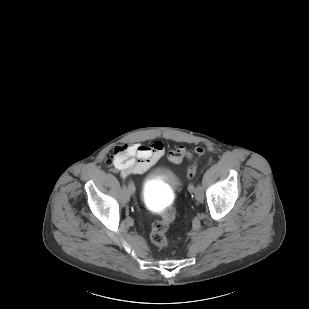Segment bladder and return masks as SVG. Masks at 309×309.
Segmentation results:
<instances>
[{
    "instance_id": "obj_1",
    "label": "bladder",
    "mask_w": 309,
    "mask_h": 309,
    "mask_svg": "<svg viewBox=\"0 0 309 309\" xmlns=\"http://www.w3.org/2000/svg\"><path fill=\"white\" fill-rule=\"evenodd\" d=\"M179 183L175 173L166 167H154L143 181L141 197L144 204L152 209H167L174 186Z\"/></svg>"
}]
</instances>
